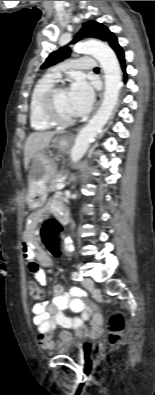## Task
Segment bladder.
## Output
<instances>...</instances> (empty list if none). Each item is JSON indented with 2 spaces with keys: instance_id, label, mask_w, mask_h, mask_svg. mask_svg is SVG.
Masks as SVG:
<instances>
[{
  "instance_id": "1",
  "label": "bladder",
  "mask_w": 155,
  "mask_h": 395,
  "mask_svg": "<svg viewBox=\"0 0 155 395\" xmlns=\"http://www.w3.org/2000/svg\"><path fill=\"white\" fill-rule=\"evenodd\" d=\"M93 350V343L91 341H84L80 339H68L60 341L56 344L54 351L60 355H68L73 357H84Z\"/></svg>"
}]
</instances>
